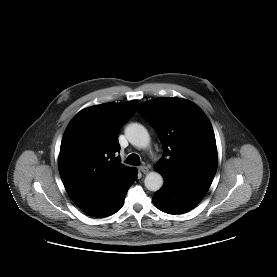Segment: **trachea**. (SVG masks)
I'll use <instances>...</instances> for the list:
<instances>
[{
	"label": "trachea",
	"instance_id": "trachea-1",
	"mask_svg": "<svg viewBox=\"0 0 277 277\" xmlns=\"http://www.w3.org/2000/svg\"><path fill=\"white\" fill-rule=\"evenodd\" d=\"M125 162L130 165L138 166L140 164V157L137 154H130Z\"/></svg>",
	"mask_w": 277,
	"mask_h": 277
}]
</instances>
